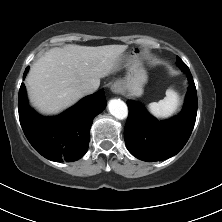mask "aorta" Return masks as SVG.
I'll use <instances>...</instances> for the list:
<instances>
[{"mask_svg": "<svg viewBox=\"0 0 222 222\" xmlns=\"http://www.w3.org/2000/svg\"><path fill=\"white\" fill-rule=\"evenodd\" d=\"M108 109L115 118L123 120L128 116V107L120 99H112L108 103Z\"/></svg>", "mask_w": 222, "mask_h": 222, "instance_id": "aorta-1", "label": "aorta"}]
</instances>
